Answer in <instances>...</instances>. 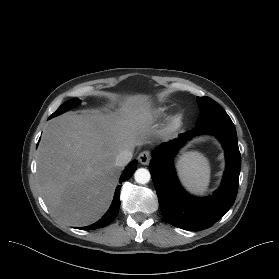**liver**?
<instances>
[{
  "label": "liver",
  "instance_id": "6515ba94",
  "mask_svg": "<svg viewBox=\"0 0 279 279\" xmlns=\"http://www.w3.org/2000/svg\"><path fill=\"white\" fill-rule=\"evenodd\" d=\"M148 96L125 97L115 112L68 113L44 129L37 154V179L49 211L62 222L86 226L109 208L123 150L150 143L161 134L154 125Z\"/></svg>",
  "mask_w": 279,
  "mask_h": 279
}]
</instances>
